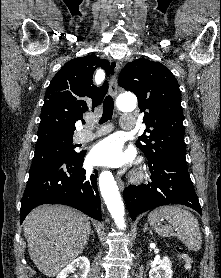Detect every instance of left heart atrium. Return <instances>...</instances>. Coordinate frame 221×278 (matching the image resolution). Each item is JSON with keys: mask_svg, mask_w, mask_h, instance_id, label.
Masks as SVG:
<instances>
[{"mask_svg": "<svg viewBox=\"0 0 221 278\" xmlns=\"http://www.w3.org/2000/svg\"><path fill=\"white\" fill-rule=\"evenodd\" d=\"M128 158L123 151L122 142L116 136L103 139L90 152V160L99 165L120 166L127 162Z\"/></svg>", "mask_w": 221, "mask_h": 278, "instance_id": "left-heart-atrium-1", "label": "left heart atrium"}]
</instances>
